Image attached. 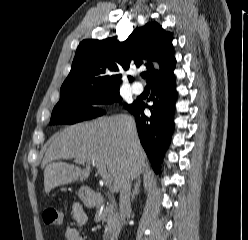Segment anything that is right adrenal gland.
Instances as JSON below:
<instances>
[{
    "instance_id": "right-adrenal-gland-1",
    "label": "right adrenal gland",
    "mask_w": 248,
    "mask_h": 240,
    "mask_svg": "<svg viewBox=\"0 0 248 240\" xmlns=\"http://www.w3.org/2000/svg\"><path fill=\"white\" fill-rule=\"evenodd\" d=\"M140 187H141V179L138 178L136 181V184L134 185V189L131 195V202H133L135 199V196L140 193Z\"/></svg>"
}]
</instances>
